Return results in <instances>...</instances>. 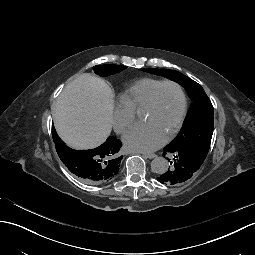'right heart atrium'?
<instances>
[{
	"instance_id": "right-heart-atrium-1",
	"label": "right heart atrium",
	"mask_w": 255,
	"mask_h": 255,
	"mask_svg": "<svg viewBox=\"0 0 255 255\" xmlns=\"http://www.w3.org/2000/svg\"><path fill=\"white\" fill-rule=\"evenodd\" d=\"M135 119V113L122 106L117 105L112 110L111 122L115 132L118 134H123L135 122Z\"/></svg>"
}]
</instances>
